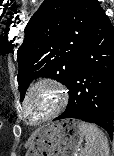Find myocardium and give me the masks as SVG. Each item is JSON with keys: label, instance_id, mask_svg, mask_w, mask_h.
<instances>
[{"label": "myocardium", "instance_id": "obj_1", "mask_svg": "<svg viewBox=\"0 0 114 156\" xmlns=\"http://www.w3.org/2000/svg\"><path fill=\"white\" fill-rule=\"evenodd\" d=\"M40 89H48L51 92L54 97V105L48 113L38 118H32L29 105L34 94ZM68 100L67 89L61 82L51 77H42L33 82L23 96L21 105L24 121L30 126H35L52 119L63 111L68 104Z\"/></svg>", "mask_w": 114, "mask_h": 156}]
</instances>
